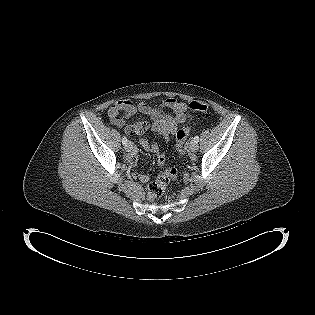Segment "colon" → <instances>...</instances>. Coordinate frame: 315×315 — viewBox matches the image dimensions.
<instances>
[{
    "instance_id": "colon-1",
    "label": "colon",
    "mask_w": 315,
    "mask_h": 315,
    "mask_svg": "<svg viewBox=\"0 0 315 315\" xmlns=\"http://www.w3.org/2000/svg\"><path fill=\"white\" fill-rule=\"evenodd\" d=\"M189 109L193 114H206L208 111L207 103L203 101H193L189 104ZM190 134V125L185 124L176 131V149L180 155L184 154V145ZM178 176L177 169L170 168L159 174L157 178L149 184V194L152 197H160L165 189L167 184L176 179Z\"/></svg>"
}]
</instances>
